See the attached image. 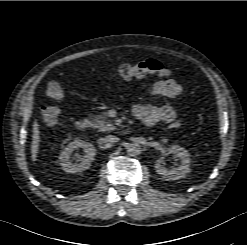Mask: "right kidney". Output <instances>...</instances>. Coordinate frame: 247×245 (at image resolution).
<instances>
[{
    "instance_id": "obj_1",
    "label": "right kidney",
    "mask_w": 247,
    "mask_h": 245,
    "mask_svg": "<svg viewBox=\"0 0 247 245\" xmlns=\"http://www.w3.org/2000/svg\"><path fill=\"white\" fill-rule=\"evenodd\" d=\"M82 148L85 155L81 158L80 163H72L70 156L74 150ZM96 149L92 144L81 140L75 139L69 143L67 147L61 152L59 162L63 170L67 173H75L88 169L95 158Z\"/></svg>"
}]
</instances>
